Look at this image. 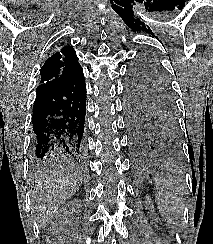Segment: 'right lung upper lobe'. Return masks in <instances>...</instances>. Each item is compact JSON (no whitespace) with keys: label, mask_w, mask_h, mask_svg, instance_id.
<instances>
[{"label":"right lung upper lobe","mask_w":213,"mask_h":244,"mask_svg":"<svg viewBox=\"0 0 213 244\" xmlns=\"http://www.w3.org/2000/svg\"><path fill=\"white\" fill-rule=\"evenodd\" d=\"M80 68L78 57L72 46L58 48L41 68L40 85H54L64 81Z\"/></svg>","instance_id":"obj_1"}]
</instances>
